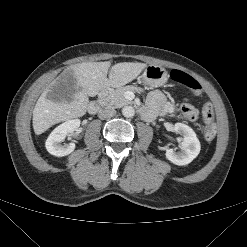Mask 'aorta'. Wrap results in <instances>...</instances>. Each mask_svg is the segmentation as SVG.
<instances>
[{"label":"aorta","instance_id":"obj_1","mask_svg":"<svg viewBox=\"0 0 247 247\" xmlns=\"http://www.w3.org/2000/svg\"><path fill=\"white\" fill-rule=\"evenodd\" d=\"M122 114L124 117H133L134 114H135V110L132 106H125L123 109H122Z\"/></svg>","mask_w":247,"mask_h":247}]
</instances>
